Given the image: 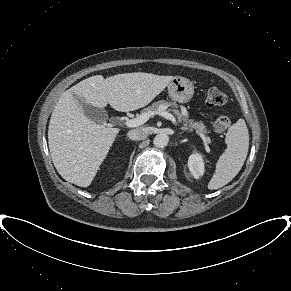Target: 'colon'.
I'll use <instances>...</instances> for the list:
<instances>
[{
	"mask_svg": "<svg viewBox=\"0 0 291 291\" xmlns=\"http://www.w3.org/2000/svg\"><path fill=\"white\" fill-rule=\"evenodd\" d=\"M227 101L226 95L219 89L212 87L208 89L206 94V102L209 106H221ZM230 125V119L226 115L217 117L214 122V129L217 132L225 131Z\"/></svg>",
	"mask_w": 291,
	"mask_h": 291,
	"instance_id": "5ec220e1",
	"label": "colon"
}]
</instances>
